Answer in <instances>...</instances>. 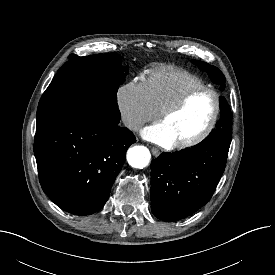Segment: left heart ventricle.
I'll list each match as a JSON object with an SVG mask.
<instances>
[{
  "mask_svg": "<svg viewBox=\"0 0 275 275\" xmlns=\"http://www.w3.org/2000/svg\"><path fill=\"white\" fill-rule=\"evenodd\" d=\"M214 109V97L209 92L194 95L179 111L161 121L175 142L197 135L208 123Z\"/></svg>",
  "mask_w": 275,
  "mask_h": 275,
  "instance_id": "1",
  "label": "left heart ventricle"
}]
</instances>
